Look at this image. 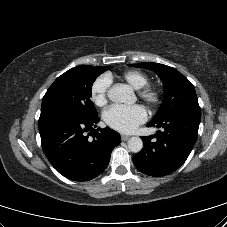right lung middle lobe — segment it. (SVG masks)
Masks as SVG:
<instances>
[{
	"label": "right lung middle lobe",
	"instance_id": "right-lung-middle-lobe-1",
	"mask_svg": "<svg viewBox=\"0 0 227 227\" xmlns=\"http://www.w3.org/2000/svg\"><path fill=\"white\" fill-rule=\"evenodd\" d=\"M109 67L78 66L59 76L42 100L41 115L63 111L91 119L97 111L91 101L92 84Z\"/></svg>",
	"mask_w": 227,
	"mask_h": 227
}]
</instances>
